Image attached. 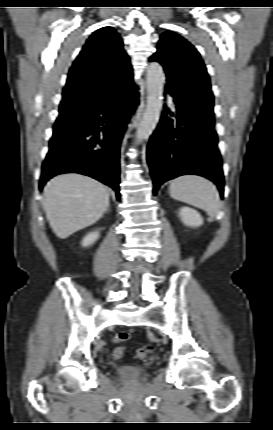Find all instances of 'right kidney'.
<instances>
[{
    "mask_svg": "<svg viewBox=\"0 0 273 430\" xmlns=\"http://www.w3.org/2000/svg\"><path fill=\"white\" fill-rule=\"evenodd\" d=\"M99 237V232L95 231V232H90L89 234H87L85 236V238L82 240V246L83 247H87L92 245Z\"/></svg>",
    "mask_w": 273,
    "mask_h": 430,
    "instance_id": "obj_1",
    "label": "right kidney"
}]
</instances>
